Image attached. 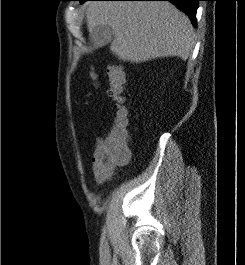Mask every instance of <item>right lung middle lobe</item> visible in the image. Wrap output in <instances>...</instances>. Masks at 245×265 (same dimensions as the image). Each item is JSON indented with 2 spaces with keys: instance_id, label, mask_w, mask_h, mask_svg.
Here are the masks:
<instances>
[{
  "instance_id": "right-lung-middle-lobe-1",
  "label": "right lung middle lobe",
  "mask_w": 245,
  "mask_h": 265,
  "mask_svg": "<svg viewBox=\"0 0 245 265\" xmlns=\"http://www.w3.org/2000/svg\"><path fill=\"white\" fill-rule=\"evenodd\" d=\"M81 3H84L85 1H87V0H79Z\"/></svg>"
}]
</instances>
